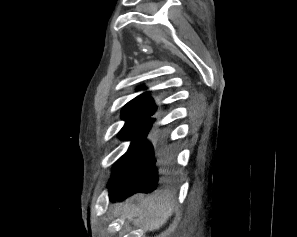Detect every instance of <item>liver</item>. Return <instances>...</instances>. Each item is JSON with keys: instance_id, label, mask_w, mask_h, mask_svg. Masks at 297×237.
<instances>
[{"instance_id": "liver-1", "label": "liver", "mask_w": 297, "mask_h": 237, "mask_svg": "<svg viewBox=\"0 0 297 237\" xmlns=\"http://www.w3.org/2000/svg\"><path fill=\"white\" fill-rule=\"evenodd\" d=\"M134 201L138 204H134ZM173 210L171 197L165 194H137L120 206L121 216L145 232L159 230L171 217Z\"/></svg>"}]
</instances>
